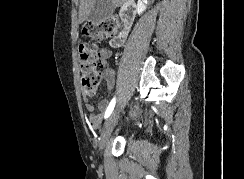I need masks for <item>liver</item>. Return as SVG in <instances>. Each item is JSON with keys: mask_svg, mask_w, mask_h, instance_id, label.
Instances as JSON below:
<instances>
[{"mask_svg": "<svg viewBox=\"0 0 244 179\" xmlns=\"http://www.w3.org/2000/svg\"><path fill=\"white\" fill-rule=\"evenodd\" d=\"M95 0H80V6H79V24H82L86 18H88L90 14V10L94 4ZM113 6L115 8H118V6H121L123 4L124 0H112Z\"/></svg>", "mask_w": 244, "mask_h": 179, "instance_id": "obj_1", "label": "liver"}]
</instances>
